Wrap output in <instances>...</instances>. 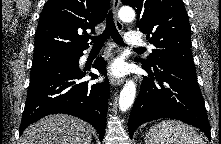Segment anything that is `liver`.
<instances>
[{
    "mask_svg": "<svg viewBox=\"0 0 221 144\" xmlns=\"http://www.w3.org/2000/svg\"><path fill=\"white\" fill-rule=\"evenodd\" d=\"M92 127L71 115H49L30 125L20 144H91Z\"/></svg>",
    "mask_w": 221,
    "mask_h": 144,
    "instance_id": "6515ba94",
    "label": "liver"
}]
</instances>
